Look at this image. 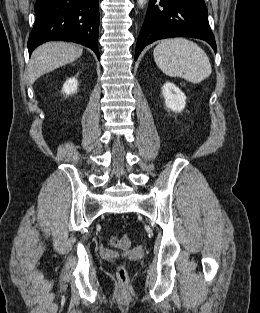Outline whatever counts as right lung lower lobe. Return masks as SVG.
<instances>
[{"label":"right lung lower lobe","instance_id":"1","mask_svg":"<svg viewBox=\"0 0 260 313\" xmlns=\"http://www.w3.org/2000/svg\"><path fill=\"white\" fill-rule=\"evenodd\" d=\"M35 11L29 54L44 42L61 40L85 45L99 57V0H37Z\"/></svg>","mask_w":260,"mask_h":313}]
</instances>
